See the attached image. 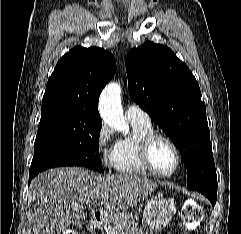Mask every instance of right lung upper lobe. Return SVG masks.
Returning <instances> with one entry per match:
<instances>
[{"label":"right lung upper lobe","instance_id":"right-lung-upper-lobe-1","mask_svg":"<svg viewBox=\"0 0 241 234\" xmlns=\"http://www.w3.org/2000/svg\"><path fill=\"white\" fill-rule=\"evenodd\" d=\"M116 69V61L108 51L74 47L58 61L48 80L41 108L69 107L101 120L99 95Z\"/></svg>","mask_w":241,"mask_h":234}]
</instances>
